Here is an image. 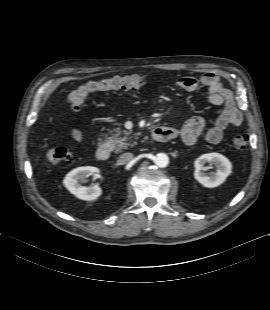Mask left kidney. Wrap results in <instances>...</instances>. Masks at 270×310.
<instances>
[{
  "mask_svg": "<svg viewBox=\"0 0 270 310\" xmlns=\"http://www.w3.org/2000/svg\"><path fill=\"white\" fill-rule=\"evenodd\" d=\"M206 163H212L216 167L215 172L205 173ZM194 178L207 188H214L225 182L232 172V164L224 155L219 153H207L198 157L194 162Z\"/></svg>",
  "mask_w": 270,
  "mask_h": 310,
  "instance_id": "1",
  "label": "left kidney"
}]
</instances>
